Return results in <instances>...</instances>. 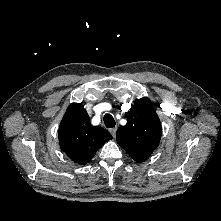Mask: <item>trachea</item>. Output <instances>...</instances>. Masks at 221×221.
I'll use <instances>...</instances> for the list:
<instances>
[{"mask_svg": "<svg viewBox=\"0 0 221 221\" xmlns=\"http://www.w3.org/2000/svg\"><path fill=\"white\" fill-rule=\"evenodd\" d=\"M103 120L107 128H113L115 126V120L111 114L104 115Z\"/></svg>", "mask_w": 221, "mask_h": 221, "instance_id": "1", "label": "trachea"}]
</instances>
